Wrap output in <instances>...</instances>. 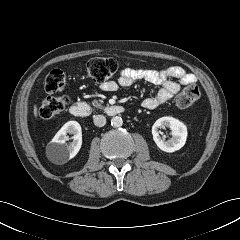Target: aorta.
<instances>
[{
  "label": "aorta",
  "mask_w": 240,
  "mask_h": 240,
  "mask_svg": "<svg viewBox=\"0 0 240 240\" xmlns=\"http://www.w3.org/2000/svg\"><path fill=\"white\" fill-rule=\"evenodd\" d=\"M111 125L113 126V127H121L122 125H123V120H122V118L121 117H119V116H116V117H113L112 119H111Z\"/></svg>",
  "instance_id": "762f6f07"
}]
</instances>
